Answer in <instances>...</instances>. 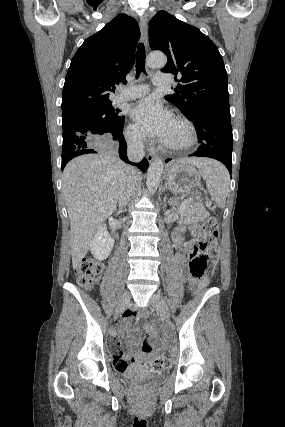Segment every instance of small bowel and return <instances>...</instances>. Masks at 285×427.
<instances>
[{
	"instance_id": "obj_1",
	"label": "small bowel",
	"mask_w": 285,
	"mask_h": 427,
	"mask_svg": "<svg viewBox=\"0 0 285 427\" xmlns=\"http://www.w3.org/2000/svg\"><path fill=\"white\" fill-rule=\"evenodd\" d=\"M176 248L178 250L177 260L179 263L184 264L186 261V253L178 238L176 239ZM134 320H135V316L133 314L124 315L121 320V324L124 326H128L132 324ZM129 342L133 344L135 348L131 353L125 354L122 350V344L119 340L115 339L112 334L108 338L107 343L111 350L113 365L116 369H120L119 363L122 361L129 360L132 363L138 364V363H141L144 359H146L149 356L147 352L137 347V341L129 340Z\"/></svg>"
}]
</instances>
